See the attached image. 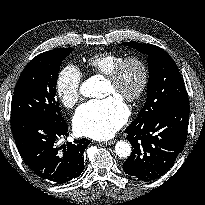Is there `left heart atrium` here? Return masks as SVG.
Masks as SVG:
<instances>
[{
  "label": "left heart atrium",
  "mask_w": 205,
  "mask_h": 205,
  "mask_svg": "<svg viewBox=\"0 0 205 205\" xmlns=\"http://www.w3.org/2000/svg\"><path fill=\"white\" fill-rule=\"evenodd\" d=\"M128 114L122 99L109 96L83 104L74 116L73 125L78 134L102 140L113 136L126 122Z\"/></svg>",
  "instance_id": "obj_1"
}]
</instances>
